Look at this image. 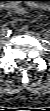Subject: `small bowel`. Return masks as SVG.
<instances>
[{"label":"small bowel","mask_w":50,"mask_h":111,"mask_svg":"<svg viewBox=\"0 0 50 111\" xmlns=\"http://www.w3.org/2000/svg\"><path fill=\"white\" fill-rule=\"evenodd\" d=\"M14 12L16 14H20L21 15V14H24L26 12V10L22 6H17V7L14 8Z\"/></svg>","instance_id":"small-bowel-1"}]
</instances>
